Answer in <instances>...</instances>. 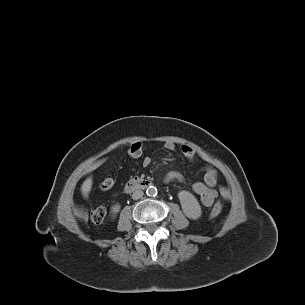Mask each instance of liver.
<instances>
[{
  "mask_svg": "<svg viewBox=\"0 0 305 305\" xmlns=\"http://www.w3.org/2000/svg\"><path fill=\"white\" fill-rule=\"evenodd\" d=\"M92 188V177H88L81 186L82 195L87 198Z\"/></svg>",
  "mask_w": 305,
  "mask_h": 305,
  "instance_id": "liver-1",
  "label": "liver"
}]
</instances>
